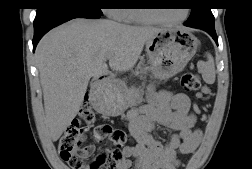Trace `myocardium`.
Returning <instances> with one entry per match:
<instances>
[{"mask_svg":"<svg viewBox=\"0 0 252 169\" xmlns=\"http://www.w3.org/2000/svg\"><path fill=\"white\" fill-rule=\"evenodd\" d=\"M137 13L145 22L158 23V24H178L185 21L188 17L187 10L183 12V15L179 19H175V20H166V19L157 18L151 15V13H149L148 11H144L142 9H137Z\"/></svg>","mask_w":252,"mask_h":169,"instance_id":"1","label":"myocardium"}]
</instances>
